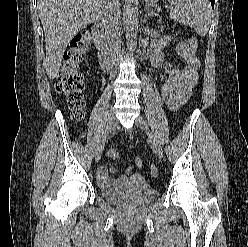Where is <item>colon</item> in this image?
Listing matches in <instances>:
<instances>
[{"label": "colon", "instance_id": "colon-1", "mask_svg": "<svg viewBox=\"0 0 248 247\" xmlns=\"http://www.w3.org/2000/svg\"><path fill=\"white\" fill-rule=\"evenodd\" d=\"M89 42V36L86 33L77 35L70 44L69 50L64 55L61 71L56 81V91L66 98L70 107L73 119L79 121L84 116V82L79 71L83 52ZM189 46L192 51L196 52L198 42L195 38L190 39ZM175 86L172 82L163 83L160 91V101L163 105L170 106L175 94ZM110 156L118 159L119 154L116 151H111ZM151 175H158L157 168L152 165L150 168Z\"/></svg>", "mask_w": 248, "mask_h": 247}]
</instances>
